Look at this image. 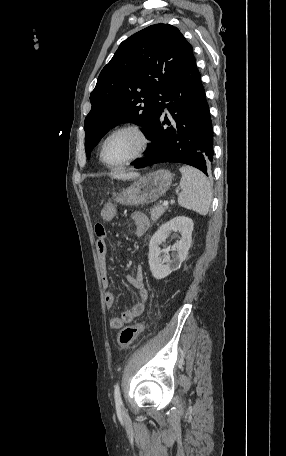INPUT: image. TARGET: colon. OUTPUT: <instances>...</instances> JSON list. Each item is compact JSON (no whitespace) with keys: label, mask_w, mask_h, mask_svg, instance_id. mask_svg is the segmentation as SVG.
<instances>
[{"label":"colon","mask_w":286,"mask_h":456,"mask_svg":"<svg viewBox=\"0 0 286 456\" xmlns=\"http://www.w3.org/2000/svg\"><path fill=\"white\" fill-rule=\"evenodd\" d=\"M97 225V224H96ZM145 324H135L125 327L119 334L117 343L120 347H127L132 344L140 333L144 330Z\"/></svg>","instance_id":"colon-1"}]
</instances>
